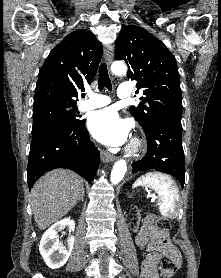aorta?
I'll return each mask as SVG.
<instances>
[{
    "instance_id": "obj_1",
    "label": "aorta",
    "mask_w": 221,
    "mask_h": 278,
    "mask_svg": "<svg viewBox=\"0 0 221 278\" xmlns=\"http://www.w3.org/2000/svg\"><path fill=\"white\" fill-rule=\"evenodd\" d=\"M111 70H112L113 74H115V75H124L127 72V67L124 62L115 61L111 66ZM126 171H127L126 161L123 159L117 161L114 164L112 172H111V176H110L111 182L113 184L119 183L123 179Z\"/></svg>"
}]
</instances>
